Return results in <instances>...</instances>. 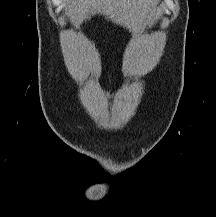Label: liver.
<instances>
[{
  "instance_id": "liver-1",
  "label": "liver",
  "mask_w": 216,
  "mask_h": 217,
  "mask_svg": "<svg viewBox=\"0 0 216 217\" xmlns=\"http://www.w3.org/2000/svg\"><path fill=\"white\" fill-rule=\"evenodd\" d=\"M154 0H67V15L78 27L92 15L101 14L113 23L130 31H140L145 26V15Z\"/></svg>"
}]
</instances>
